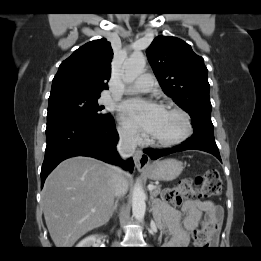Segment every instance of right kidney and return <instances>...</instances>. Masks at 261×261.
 I'll list each match as a JSON object with an SVG mask.
<instances>
[{
  "mask_svg": "<svg viewBox=\"0 0 261 261\" xmlns=\"http://www.w3.org/2000/svg\"><path fill=\"white\" fill-rule=\"evenodd\" d=\"M97 237H98L97 235H92V236L86 237L85 239L80 241L76 247H78V248L94 247Z\"/></svg>",
  "mask_w": 261,
  "mask_h": 261,
  "instance_id": "obj_1",
  "label": "right kidney"
}]
</instances>
